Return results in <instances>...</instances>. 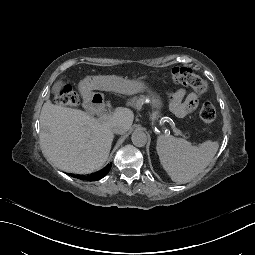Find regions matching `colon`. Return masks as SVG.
Here are the masks:
<instances>
[{
    "instance_id": "obj_1",
    "label": "colon",
    "mask_w": 255,
    "mask_h": 255,
    "mask_svg": "<svg viewBox=\"0 0 255 255\" xmlns=\"http://www.w3.org/2000/svg\"><path fill=\"white\" fill-rule=\"evenodd\" d=\"M170 79L181 85L192 88L197 94H203L208 90L207 82L186 67H176L169 75ZM55 101L64 106L75 107L79 103L78 96L69 86H62L55 95ZM200 118L205 124H211L216 118V110L211 102L203 103L200 109Z\"/></svg>"
}]
</instances>
